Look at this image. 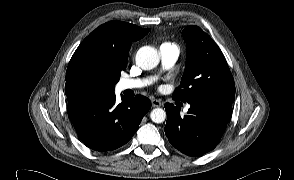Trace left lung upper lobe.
<instances>
[{
	"label": "left lung upper lobe",
	"mask_w": 294,
	"mask_h": 180,
	"mask_svg": "<svg viewBox=\"0 0 294 180\" xmlns=\"http://www.w3.org/2000/svg\"><path fill=\"white\" fill-rule=\"evenodd\" d=\"M187 60L181 84L173 98L182 102L214 101L233 103L235 83L218 45L198 26L183 30Z\"/></svg>",
	"instance_id": "5c2ea615"
}]
</instances>
